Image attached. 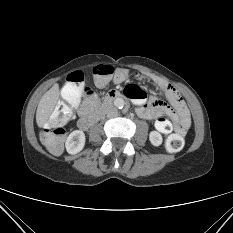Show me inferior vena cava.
Returning <instances> with one entry per match:
<instances>
[{
    "label": "inferior vena cava",
    "mask_w": 233,
    "mask_h": 233,
    "mask_svg": "<svg viewBox=\"0 0 233 233\" xmlns=\"http://www.w3.org/2000/svg\"><path fill=\"white\" fill-rule=\"evenodd\" d=\"M106 114L108 118H114L118 116V111L115 107L109 106L106 110Z\"/></svg>",
    "instance_id": "602c4592"
}]
</instances>
